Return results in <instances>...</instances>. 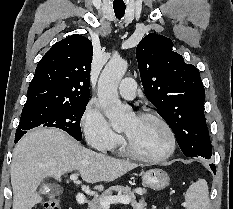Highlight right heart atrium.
Returning a JSON list of instances; mask_svg holds the SVG:
<instances>
[{"instance_id": "1", "label": "right heart atrium", "mask_w": 233, "mask_h": 209, "mask_svg": "<svg viewBox=\"0 0 233 209\" xmlns=\"http://www.w3.org/2000/svg\"><path fill=\"white\" fill-rule=\"evenodd\" d=\"M81 128L90 147L98 151H108L117 147L122 137L109 125L99 104L91 100L81 116Z\"/></svg>"}]
</instances>
